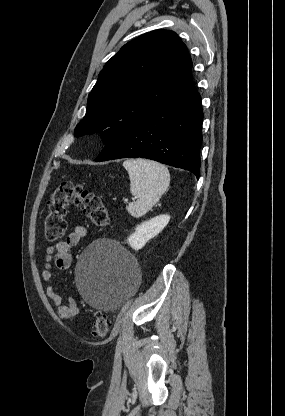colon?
I'll use <instances>...</instances> for the list:
<instances>
[{"label": "colon", "mask_w": 285, "mask_h": 416, "mask_svg": "<svg viewBox=\"0 0 285 416\" xmlns=\"http://www.w3.org/2000/svg\"><path fill=\"white\" fill-rule=\"evenodd\" d=\"M71 203L79 206L93 225L105 227L109 224L108 210L98 196L80 185L64 182L53 190L48 201V212L44 221L47 241L55 242L64 235L67 228L65 216ZM110 326V317L105 313H98L92 326L93 337H105Z\"/></svg>", "instance_id": "1"}]
</instances>
